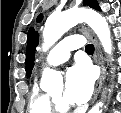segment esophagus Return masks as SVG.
Wrapping results in <instances>:
<instances>
[{
    "label": "esophagus",
    "mask_w": 121,
    "mask_h": 113,
    "mask_svg": "<svg viewBox=\"0 0 121 113\" xmlns=\"http://www.w3.org/2000/svg\"><path fill=\"white\" fill-rule=\"evenodd\" d=\"M92 39H93V42H94V45H95V61L99 65V67L101 69V74H100V77H99V79H98V81L96 83L94 95H93V98H92V103H94L95 100L97 99V96H98V94L100 92L102 83L104 81L105 68H104L103 57H102V54H101V51H100V45L98 43V40L94 35L92 36Z\"/></svg>",
    "instance_id": "obj_1"
}]
</instances>
